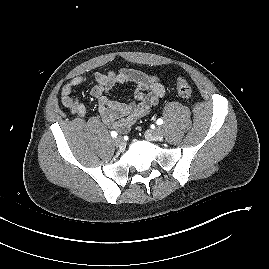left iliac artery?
Masks as SVG:
<instances>
[{"label": "left iliac artery", "mask_w": 269, "mask_h": 269, "mask_svg": "<svg viewBox=\"0 0 269 269\" xmlns=\"http://www.w3.org/2000/svg\"><path fill=\"white\" fill-rule=\"evenodd\" d=\"M157 125H162L163 124V119L159 118L157 121H156Z\"/></svg>", "instance_id": "1"}]
</instances>
